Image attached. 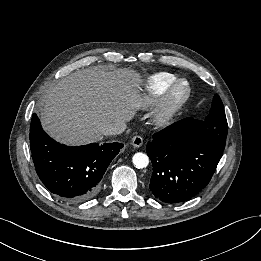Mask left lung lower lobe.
Wrapping results in <instances>:
<instances>
[{
	"mask_svg": "<svg viewBox=\"0 0 261 261\" xmlns=\"http://www.w3.org/2000/svg\"><path fill=\"white\" fill-rule=\"evenodd\" d=\"M223 151L207 140L204 121L188 117L173 123L147 143L151 192L168 204L192 199L208 185Z\"/></svg>",
	"mask_w": 261,
	"mask_h": 261,
	"instance_id": "obj_1",
	"label": "left lung lower lobe"
}]
</instances>
